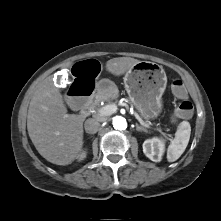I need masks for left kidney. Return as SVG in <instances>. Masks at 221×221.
I'll use <instances>...</instances> for the list:
<instances>
[{
    "label": "left kidney",
    "instance_id": "obj_1",
    "mask_svg": "<svg viewBox=\"0 0 221 221\" xmlns=\"http://www.w3.org/2000/svg\"><path fill=\"white\" fill-rule=\"evenodd\" d=\"M165 150V142L160 138L147 139L143 143L144 154L154 162H160Z\"/></svg>",
    "mask_w": 221,
    "mask_h": 221
}]
</instances>
